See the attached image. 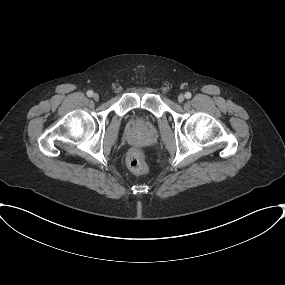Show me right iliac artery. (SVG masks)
<instances>
[{
    "label": "right iliac artery",
    "mask_w": 285,
    "mask_h": 285,
    "mask_svg": "<svg viewBox=\"0 0 285 285\" xmlns=\"http://www.w3.org/2000/svg\"><path fill=\"white\" fill-rule=\"evenodd\" d=\"M87 96L88 97H92L93 96V91H91V90L87 91Z\"/></svg>",
    "instance_id": "82829eb1"
}]
</instances>
